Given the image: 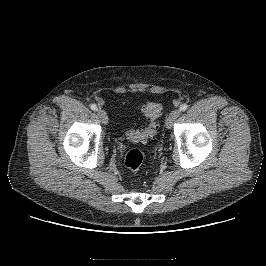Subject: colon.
Returning <instances> with one entry per match:
<instances>
[{
	"label": "colon",
	"mask_w": 266,
	"mask_h": 266,
	"mask_svg": "<svg viewBox=\"0 0 266 266\" xmlns=\"http://www.w3.org/2000/svg\"><path fill=\"white\" fill-rule=\"evenodd\" d=\"M142 112L148 118V124L139 131H129L127 133L128 138L135 143H146L155 136L158 129L156 120L161 114V106L155 102H148L143 105ZM142 162L143 155L140 150L132 149L127 153L125 166L131 172H138Z\"/></svg>",
	"instance_id": "5ec220e1"
}]
</instances>
